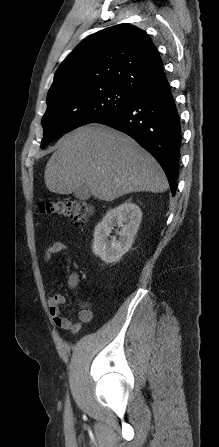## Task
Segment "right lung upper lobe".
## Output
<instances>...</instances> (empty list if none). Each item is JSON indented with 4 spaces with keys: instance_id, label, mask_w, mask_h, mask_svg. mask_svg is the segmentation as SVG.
Masks as SVG:
<instances>
[{
    "instance_id": "right-lung-upper-lobe-1",
    "label": "right lung upper lobe",
    "mask_w": 219,
    "mask_h": 447,
    "mask_svg": "<svg viewBox=\"0 0 219 447\" xmlns=\"http://www.w3.org/2000/svg\"><path fill=\"white\" fill-rule=\"evenodd\" d=\"M166 80L159 52L148 34L119 24L85 38L57 69L48 94L113 85L137 97Z\"/></svg>"
}]
</instances>
